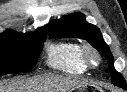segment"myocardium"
Returning a JSON list of instances; mask_svg holds the SVG:
<instances>
[{
	"label": "myocardium",
	"mask_w": 127,
	"mask_h": 92,
	"mask_svg": "<svg viewBox=\"0 0 127 92\" xmlns=\"http://www.w3.org/2000/svg\"><path fill=\"white\" fill-rule=\"evenodd\" d=\"M81 58L87 68H96L101 63L100 53L90 45L81 48Z\"/></svg>",
	"instance_id": "f54148a6"
}]
</instances>
